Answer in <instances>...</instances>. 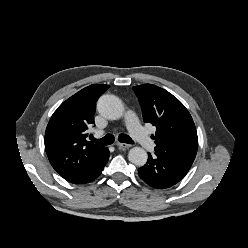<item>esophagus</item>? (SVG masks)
<instances>
[{
  "instance_id": "1",
  "label": "esophagus",
  "mask_w": 248,
  "mask_h": 248,
  "mask_svg": "<svg viewBox=\"0 0 248 248\" xmlns=\"http://www.w3.org/2000/svg\"><path fill=\"white\" fill-rule=\"evenodd\" d=\"M117 147L120 149V150H124L126 148H129L130 145L129 144H126V143H120V142H117L116 143Z\"/></svg>"
}]
</instances>
